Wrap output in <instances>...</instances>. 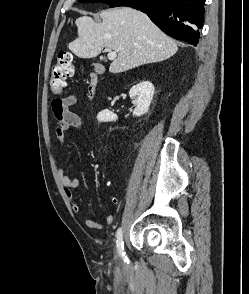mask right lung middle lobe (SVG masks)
Segmentation results:
<instances>
[{"label": "right lung middle lobe", "instance_id": "obj_1", "mask_svg": "<svg viewBox=\"0 0 249 294\" xmlns=\"http://www.w3.org/2000/svg\"><path fill=\"white\" fill-rule=\"evenodd\" d=\"M82 3H93V2H103L108 4L110 7L119 6L123 0H78Z\"/></svg>", "mask_w": 249, "mask_h": 294}]
</instances>
